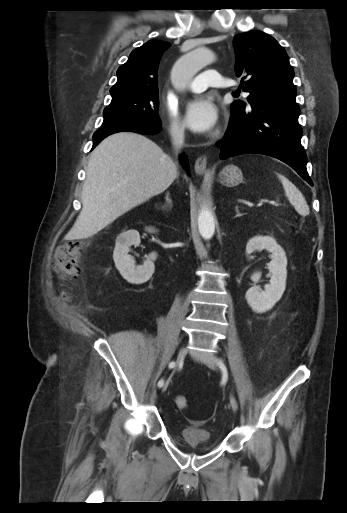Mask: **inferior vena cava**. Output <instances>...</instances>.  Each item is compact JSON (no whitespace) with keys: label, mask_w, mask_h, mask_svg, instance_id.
<instances>
[{"label":"inferior vena cava","mask_w":347,"mask_h":513,"mask_svg":"<svg viewBox=\"0 0 347 513\" xmlns=\"http://www.w3.org/2000/svg\"><path fill=\"white\" fill-rule=\"evenodd\" d=\"M172 145L175 150L178 152L180 148L184 144V129L183 128H174L171 131ZM174 169L176 170V166L174 165Z\"/></svg>","instance_id":"obj_1"}]
</instances>
